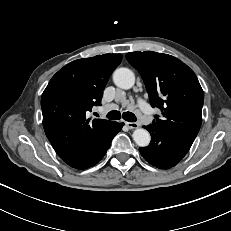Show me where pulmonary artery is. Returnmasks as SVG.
Here are the masks:
<instances>
[{
    "instance_id": "obj_1",
    "label": "pulmonary artery",
    "mask_w": 231,
    "mask_h": 231,
    "mask_svg": "<svg viewBox=\"0 0 231 231\" xmlns=\"http://www.w3.org/2000/svg\"><path fill=\"white\" fill-rule=\"evenodd\" d=\"M140 108L146 115L151 114L150 108L143 101H140Z\"/></svg>"
}]
</instances>
